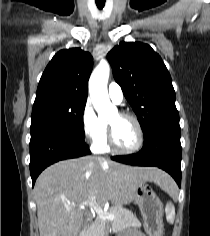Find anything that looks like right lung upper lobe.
I'll use <instances>...</instances> for the list:
<instances>
[{"mask_svg":"<svg viewBox=\"0 0 210 236\" xmlns=\"http://www.w3.org/2000/svg\"><path fill=\"white\" fill-rule=\"evenodd\" d=\"M92 66V56L80 48L59 51L41 76L35 102L56 97L86 100Z\"/></svg>","mask_w":210,"mask_h":236,"instance_id":"1","label":"right lung upper lobe"}]
</instances>
